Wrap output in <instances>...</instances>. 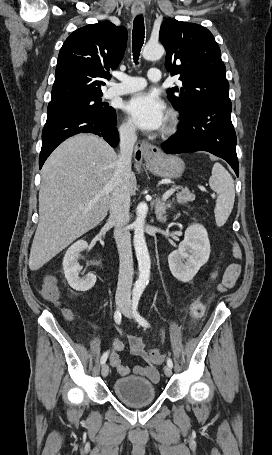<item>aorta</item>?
Here are the masks:
<instances>
[{
	"mask_svg": "<svg viewBox=\"0 0 272 455\" xmlns=\"http://www.w3.org/2000/svg\"><path fill=\"white\" fill-rule=\"evenodd\" d=\"M164 47L159 43H147L143 49V57L146 60H158L164 55ZM148 212V206L141 202L137 206L136 220L134 222V248L138 261L139 276L135 282L133 291L141 294L150 278L151 262L144 237V223Z\"/></svg>",
	"mask_w": 272,
	"mask_h": 455,
	"instance_id": "762f6f07",
	"label": "aorta"
}]
</instances>
